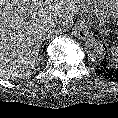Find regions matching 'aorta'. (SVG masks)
Returning a JSON list of instances; mask_svg holds the SVG:
<instances>
[{
    "label": "aorta",
    "instance_id": "762f6f07",
    "mask_svg": "<svg viewBox=\"0 0 118 118\" xmlns=\"http://www.w3.org/2000/svg\"><path fill=\"white\" fill-rule=\"evenodd\" d=\"M85 51L91 61H101L105 57V48L96 40H90L85 44Z\"/></svg>",
    "mask_w": 118,
    "mask_h": 118
}]
</instances>
